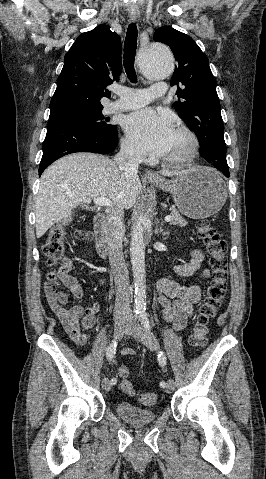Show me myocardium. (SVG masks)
Wrapping results in <instances>:
<instances>
[{"instance_id": "myocardium-1", "label": "myocardium", "mask_w": 266, "mask_h": 479, "mask_svg": "<svg viewBox=\"0 0 266 479\" xmlns=\"http://www.w3.org/2000/svg\"><path fill=\"white\" fill-rule=\"evenodd\" d=\"M176 133L186 138V145L171 157H165L162 161L169 166H183L190 162L197 154L199 149V141L197 136L186 127H179Z\"/></svg>"}]
</instances>
